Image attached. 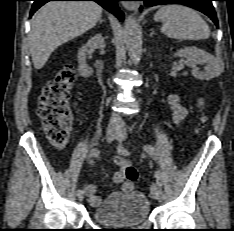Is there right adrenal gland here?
Here are the masks:
<instances>
[{"instance_id":"2a0ac1e0","label":"right adrenal gland","mask_w":234,"mask_h":231,"mask_svg":"<svg viewBox=\"0 0 234 231\" xmlns=\"http://www.w3.org/2000/svg\"><path fill=\"white\" fill-rule=\"evenodd\" d=\"M105 20H103V19H100V21H99V23L101 24L102 22H104Z\"/></svg>"}]
</instances>
